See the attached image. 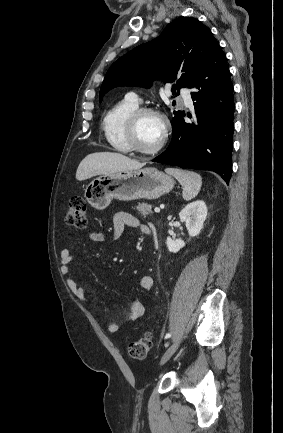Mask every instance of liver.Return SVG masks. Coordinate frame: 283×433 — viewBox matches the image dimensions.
<instances>
[{
    "label": "liver",
    "instance_id": "liver-1",
    "mask_svg": "<svg viewBox=\"0 0 283 433\" xmlns=\"http://www.w3.org/2000/svg\"><path fill=\"white\" fill-rule=\"evenodd\" d=\"M146 162H138L136 158H129L120 152H92L81 160L77 170V180H86L97 174H112L121 170H138Z\"/></svg>",
    "mask_w": 283,
    "mask_h": 433
}]
</instances>
